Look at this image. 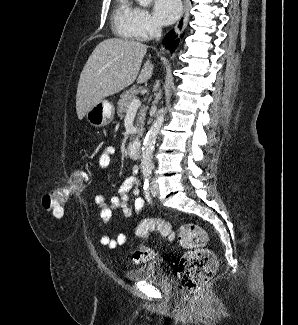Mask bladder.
<instances>
[{"label": "bladder", "instance_id": "obj_1", "mask_svg": "<svg viewBox=\"0 0 298 325\" xmlns=\"http://www.w3.org/2000/svg\"><path fill=\"white\" fill-rule=\"evenodd\" d=\"M125 277L130 281L147 282L167 291H171L174 287L172 279L157 261L130 269L125 273Z\"/></svg>", "mask_w": 298, "mask_h": 325}]
</instances>
